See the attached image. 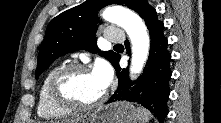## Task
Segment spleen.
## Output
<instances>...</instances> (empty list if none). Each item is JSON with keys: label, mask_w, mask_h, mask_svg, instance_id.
<instances>
[{"label": "spleen", "mask_w": 221, "mask_h": 123, "mask_svg": "<svg viewBox=\"0 0 221 123\" xmlns=\"http://www.w3.org/2000/svg\"><path fill=\"white\" fill-rule=\"evenodd\" d=\"M137 118L139 123H148L150 120V112L142 107L137 109Z\"/></svg>", "instance_id": "spleen-1"}]
</instances>
